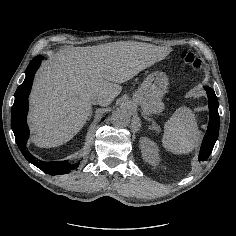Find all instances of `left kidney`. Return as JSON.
<instances>
[{"mask_svg": "<svg viewBox=\"0 0 236 236\" xmlns=\"http://www.w3.org/2000/svg\"><path fill=\"white\" fill-rule=\"evenodd\" d=\"M141 151L143 158L151 163L152 165L157 164L158 155H157V147L155 144L147 139L141 140Z\"/></svg>", "mask_w": 236, "mask_h": 236, "instance_id": "left-kidney-1", "label": "left kidney"}]
</instances>
